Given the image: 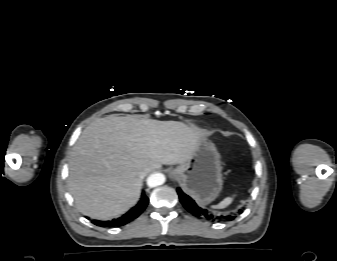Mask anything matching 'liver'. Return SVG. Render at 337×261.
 Returning a JSON list of instances; mask_svg holds the SVG:
<instances>
[{
	"label": "liver",
	"mask_w": 337,
	"mask_h": 261,
	"mask_svg": "<svg viewBox=\"0 0 337 261\" xmlns=\"http://www.w3.org/2000/svg\"><path fill=\"white\" fill-rule=\"evenodd\" d=\"M203 134L183 122L134 116L92 122L69 158L68 187L78 210L99 220L120 216L138 201L142 172L187 162Z\"/></svg>",
	"instance_id": "1"
}]
</instances>
